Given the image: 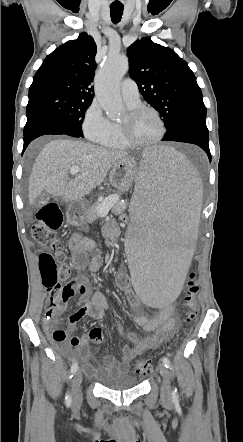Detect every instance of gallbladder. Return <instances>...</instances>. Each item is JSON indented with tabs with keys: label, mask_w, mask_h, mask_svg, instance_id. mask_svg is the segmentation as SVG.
Listing matches in <instances>:
<instances>
[{
	"label": "gallbladder",
	"mask_w": 243,
	"mask_h": 442,
	"mask_svg": "<svg viewBox=\"0 0 243 442\" xmlns=\"http://www.w3.org/2000/svg\"><path fill=\"white\" fill-rule=\"evenodd\" d=\"M57 195L55 193H46V192H42L41 194L38 195V197L35 199L34 201V206L36 208H39L41 206H43L44 203H47L48 200L53 199L55 201H57Z\"/></svg>",
	"instance_id": "obj_1"
}]
</instances>
